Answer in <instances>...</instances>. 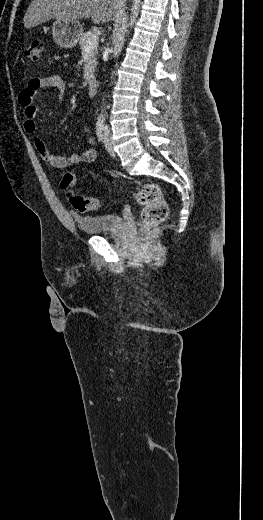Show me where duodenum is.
Returning a JSON list of instances; mask_svg holds the SVG:
<instances>
[{
  "label": "duodenum",
  "mask_w": 263,
  "mask_h": 520,
  "mask_svg": "<svg viewBox=\"0 0 263 520\" xmlns=\"http://www.w3.org/2000/svg\"><path fill=\"white\" fill-rule=\"evenodd\" d=\"M98 83L96 80H90L88 82V94L91 97H94L97 94Z\"/></svg>",
  "instance_id": "1"
}]
</instances>
